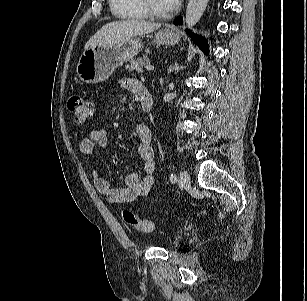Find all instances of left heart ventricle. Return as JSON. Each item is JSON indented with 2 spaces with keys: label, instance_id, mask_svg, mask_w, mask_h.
Segmentation results:
<instances>
[{
  "label": "left heart ventricle",
  "instance_id": "obj_1",
  "mask_svg": "<svg viewBox=\"0 0 307 301\" xmlns=\"http://www.w3.org/2000/svg\"><path fill=\"white\" fill-rule=\"evenodd\" d=\"M149 2L151 6L159 12H166L170 10L164 0H149Z\"/></svg>",
  "mask_w": 307,
  "mask_h": 301
}]
</instances>
